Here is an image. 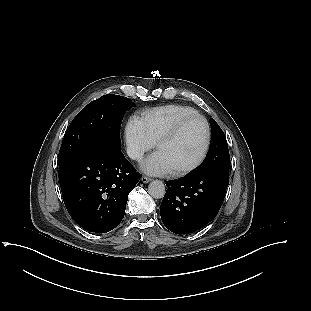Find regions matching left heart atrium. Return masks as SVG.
<instances>
[{"instance_id": "1", "label": "left heart atrium", "mask_w": 311, "mask_h": 311, "mask_svg": "<svg viewBox=\"0 0 311 311\" xmlns=\"http://www.w3.org/2000/svg\"><path fill=\"white\" fill-rule=\"evenodd\" d=\"M141 169L143 172L154 176L166 175L172 172L171 166L160 151H156L147 157L141 163Z\"/></svg>"}]
</instances>
